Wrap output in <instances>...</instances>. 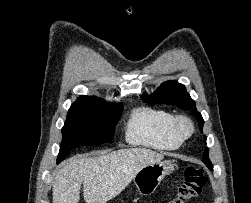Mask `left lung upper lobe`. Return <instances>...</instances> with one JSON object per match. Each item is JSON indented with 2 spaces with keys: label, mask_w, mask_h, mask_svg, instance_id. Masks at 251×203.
I'll use <instances>...</instances> for the list:
<instances>
[{
  "label": "left lung upper lobe",
  "mask_w": 251,
  "mask_h": 203,
  "mask_svg": "<svg viewBox=\"0 0 251 203\" xmlns=\"http://www.w3.org/2000/svg\"><path fill=\"white\" fill-rule=\"evenodd\" d=\"M141 99L151 104H170L175 105L181 109H188L192 111L199 122L200 130L202 131L204 120L200 113L197 112L194 100L187 93L184 85L175 81H167L161 84L160 87L152 95H142ZM203 162L206 166L213 170V166L208 156V149L203 154Z\"/></svg>",
  "instance_id": "obj_1"
}]
</instances>
